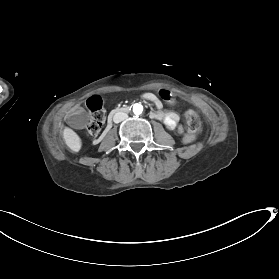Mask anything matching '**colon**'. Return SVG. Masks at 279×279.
<instances>
[{
    "label": "colon",
    "mask_w": 279,
    "mask_h": 279,
    "mask_svg": "<svg viewBox=\"0 0 279 279\" xmlns=\"http://www.w3.org/2000/svg\"><path fill=\"white\" fill-rule=\"evenodd\" d=\"M185 123L188 130V135L185 136V142L189 143L193 141L194 134L200 130L201 122L198 114L193 110H188L185 115ZM105 123V112L100 107L97 110L93 111L90 117V121L87 125L88 135L95 136L99 134Z\"/></svg>",
    "instance_id": "obj_1"
}]
</instances>
